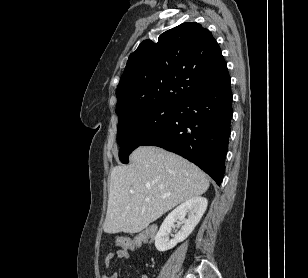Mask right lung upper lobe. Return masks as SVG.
Wrapping results in <instances>:
<instances>
[{
	"label": "right lung upper lobe",
	"mask_w": 308,
	"mask_h": 278,
	"mask_svg": "<svg viewBox=\"0 0 308 278\" xmlns=\"http://www.w3.org/2000/svg\"><path fill=\"white\" fill-rule=\"evenodd\" d=\"M227 64L211 32L189 22L143 41L130 54L117 87L119 121L154 105H178L229 79Z\"/></svg>",
	"instance_id": "right-lung-upper-lobe-1"
}]
</instances>
